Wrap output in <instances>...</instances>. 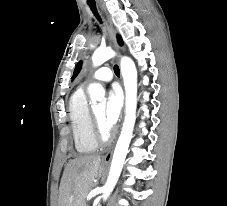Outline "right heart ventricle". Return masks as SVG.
<instances>
[{"label": "right heart ventricle", "instance_id": "right-heart-ventricle-1", "mask_svg": "<svg viewBox=\"0 0 227 206\" xmlns=\"http://www.w3.org/2000/svg\"><path fill=\"white\" fill-rule=\"evenodd\" d=\"M68 116L76 150L80 154L94 152L98 142L92 132L90 108L82 88L77 89L70 97Z\"/></svg>", "mask_w": 227, "mask_h": 206}]
</instances>
